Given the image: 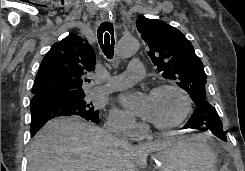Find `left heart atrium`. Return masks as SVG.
Returning <instances> with one entry per match:
<instances>
[{"label":"left heart atrium","instance_id":"39dd6f15","mask_svg":"<svg viewBox=\"0 0 245 171\" xmlns=\"http://www.w3.org/2000/svg\"><path fill=\"white\" fill-rule=\"evenodd\" d=\"M120 102L128 112L145 120L152 121L153 112L149 95L139 93L127 94L121 97Z\"/></svg>","mask_w":245,"mask_h":171}]
</instances>
